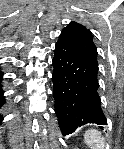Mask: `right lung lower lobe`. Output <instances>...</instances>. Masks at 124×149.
<instances>
[{"mask_svg":"<svg viewBox=\"0 0 124 149\" xmlns=\"http://www.w3.org/2000/svg\"><path fill=\"white\" fill-rule=\"evenodd\" d=\"M2 76H3V74L0 72V82L2 80ZM4 103H5V99H4L3 91L1 90V85H0V108ZM2 119H3V117L0 115V123H1Z\"/></svg>","mask_w":124,"mask_h":149,"instance_id":"1","label":"right lung lower lobe"}]
</instances>
